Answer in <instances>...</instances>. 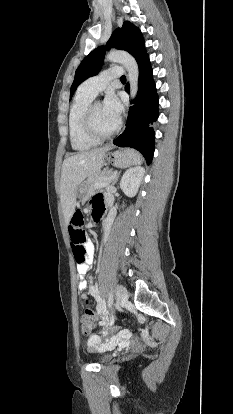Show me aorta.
Segmentation results:
<instances>
[{"instance_id": "aorta-1", "label": "aorta", "mask_w": 233, "mask_h": 414, "mask_svg": "<svg viewBox=\"0 0 233 414\" xmlns=\"http://www.w3.org/2000/svg\"><path fill=\"white\" fill-rule=\"evenodd\" d=\"M106 59L113 63H120L127 70L130 83V95L134 99L138 91L139 69L136 60L125 51H110Z\"/></svg>"}]
</instances>
